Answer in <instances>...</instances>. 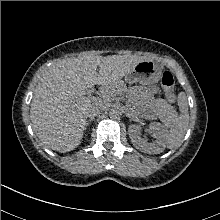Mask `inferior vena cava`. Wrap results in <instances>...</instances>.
Listing matches in <instances>:
<instances>
[{
	"instance_id": "inferior-vena-cava-1",
	"label": "inferior vena cava",
	"mask_w": 220,
	"mask_h": 220,
	"mask_svg": "<svg viewBox=\"0 0 220 220\" xmlns=\"http://www.w3.org/2000/svg\"><path fill=\"white\" fill-rule=\"evenodd\" d=\"M105 106L104 105H100V104H96V105H93L91 107V109L89 110V114L88 116L90 118H94L96 117L97 115H99L103 110H104Z\"/></svg>"
}]
</instances>
